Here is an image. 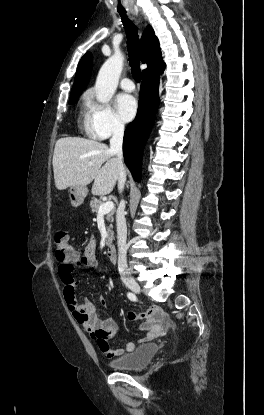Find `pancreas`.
<instances>
[{
    "label": "pancreas",
    "instance_id": "obj_1",
    "mask_svg": "<svg viewBox=\"0 0 264 415\" xmlns=\"http://www.w3.org/2000/svg\"><path fill=\"white\" fill-rule=\"evenodd\" d=\"M102 204H103L102 200H99L97 198H93L92 201L90 202V207L92 209V212L97 214L98 210H99V207ZM113 214H114V211L109 212L106 215V220L112 223L114 221ZM112 227H113L112 224H110V226L108 227V236H107V239H106V245H110L112 240H113L114 232L112 231Z\"/></svg>",
    "mask_w": 264,
    "mask_h": 415
}]
</instances>
